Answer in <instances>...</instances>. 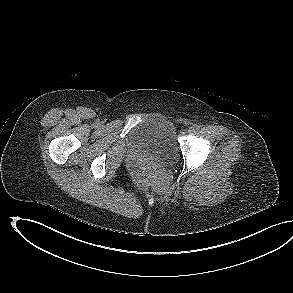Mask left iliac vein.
Listing matches in <instances>:
<instances>
[{
  "instance_id": "left-iliac-vein-1",
  "label": "left iliac vein",
  "mask_w": 293,
  "mask_h": 293,
  "mask_svg": "<svg viewBox=\"0 0 293 293\" xmlns=\"http://www.w3.org/2000/svg\"><path fill=\"white\" fill-rule=\"evenodd\" d=\"M194 131H195V129H194L193 127H190V128L188 129V133H189V134L194 133Z\"/></svg>"
}]
</instances>
